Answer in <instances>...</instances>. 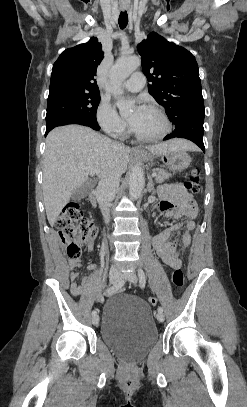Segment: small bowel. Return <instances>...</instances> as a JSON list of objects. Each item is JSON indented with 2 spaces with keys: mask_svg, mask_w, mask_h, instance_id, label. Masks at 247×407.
Segmentation results:
<instances>
[{
  "mask_svg": "<svg viewBox=\"0 0 247 407\" xmlns=\"http://www.w3.org/2000/svg\"><path fill=\"white\" fill-rule=\"evenodd\" d=\"M159 195L161 201L156 207L158 212L163 213L168 219H179L183 216L187 219L184 223L173 226L167 231L156 235L152 239V245L165 265L172 268H181V254L191 242V231L195 227L197 207L193 198L178 184H169L161 187ZM178 233V238L174 242L170 241V238ZM93 248L94 243L92 240H89L87 242L88 251L91 252ZM68 266L71 271L69 275L71 293L74 296H79L90 285L91 279L85 277L80 285L76 284L74 280L78 276V270L81 268L82 263L78 259H71L68 261ZM87 269L96 271L97 265L90 264Z\"/></svg>",
  "mask_w": 247,
  "mask_h": 407,
  "instance_id": "c3829d8e",
  "label": "small bowel"
}]
</instances>
